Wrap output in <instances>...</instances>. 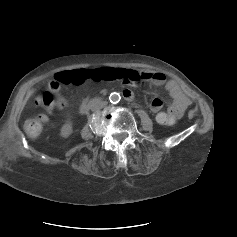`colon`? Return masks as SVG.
I'll return each instance as SVG.
<instances>
[{
	"label": "colon",
	"instance_id": "5ec220e1",
	"mask_svg": "<svg viewBox=\"0 0 237 237\" xmlns=\"http://www.w3.org/2000/svg\"><path fill=\"white\" fill-rule=\"evenodd\" d=\"M143 80L142 74L137 70L123 68H99V69H77L57 73L49 85V90L41 96V103L46 111L50 113L55 106H64L61 99H56L61 93L62 87L67 85H81L86 81H116L122 84L137 86ZM46 114H39L24 122V130L31 138H37L43 131L47 122ZM156 121L163 126H171L175 119L168 112H159Z\"/></svg>",
	"mask_w": 237,
	"mask_h": 237
}]
</instances>
